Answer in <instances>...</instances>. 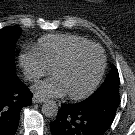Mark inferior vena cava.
<instances>
[{
    "mask_svg": "<svg viewBox=\"0 0 135 135\" xmlns=\"http://www.w3.org/2000/svg\"><path fill=\"white\" fill-rule=\"evenodd\" d=\"M29 79H37V76L36 75H31L30 77H29Z\"/></svg>",
    "mask_w": 135,
    "mask_h": 135,
    "instance_id": "602c4592",
    "label": "inferior vena cava"
}]
</instances>
